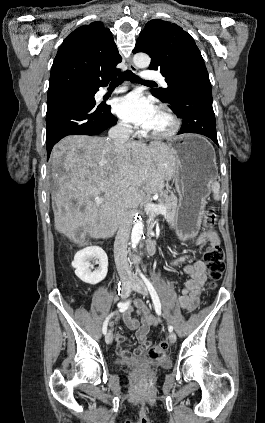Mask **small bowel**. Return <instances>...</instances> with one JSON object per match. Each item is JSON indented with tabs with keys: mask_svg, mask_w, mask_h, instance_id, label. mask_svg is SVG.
I'll return each instance as SVG.
<instances>
[{
	"mask_svg": "<svg viewBox=\"0 0 265 423\" xmlns=\"http://www.w3.org/2000/svg\"><path fill=\"white\" fill-rule=\"evenodd\" d=\"M205 242L210 244H219L218 234L213 230H206L191 240L192 244L200 245ZM189 257L182 256L171 261L172 266H178L185 262ZM184 272L189 279L179 288L180 306L188 311H194L199 303L202 289L206 281V265L202 260H196L184 267ZM123 321L125 325L132 330H136V338L139 347L133 351L124 348L125 336L117 333L115 336L118 354L126 361L132 362L137 359L144 358L150 347L149 337L151 327L160 323L157 316L151 314L149 309L144 305L142 300H136L134 304L123 311Z\"/></svg>",
	"mask_w": 265,
	"mask_h": 423,
	"instance_id": "c3829d8e",
	"label": "small bowel"
}]
</instances>
